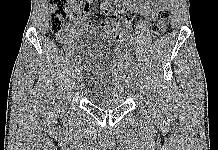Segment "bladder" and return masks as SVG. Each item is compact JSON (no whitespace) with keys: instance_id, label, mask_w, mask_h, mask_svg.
Here are the masks:
<instances>
[{"instance_id":"1","label":"bladder","mask_w":218,"mask_h":150,"mask_svg":"<svg viewBox=\"0 0 218 150\" xmlns=\"http://www.w3.org/2000/svg\"><path fill=\"white\" fill-rule=\"evenodd\" d=\"M83 65L78 82L83 96L99 108H115L128 99L134 81L129 61L120 52V43L101 32H92L83 41Z\"/></svg>"}]
</instances>
